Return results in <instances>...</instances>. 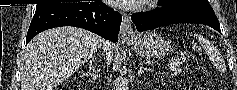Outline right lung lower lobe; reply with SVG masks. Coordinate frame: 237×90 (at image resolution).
I'll return each instance as SVG.
<instances>
[{
	"mask_svg": "<svg viewBox=\"0 0 237 90\" xmlns=\"http://www.w3.org/2000/svg\"><path fill=\"white\" fill-rule=\"evenodd\" d=\"M121 15L101 1L45 4L36 7L26 44L38 33L60 26H76L117 42Z\"/></svg>",
	"mask_w": 237,
	"mask_h": 90,
	"instance_id": "98d812e1",
	"label": "right lung lower lobe"
}]
</instances>
